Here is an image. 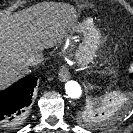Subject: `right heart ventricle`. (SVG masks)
<instances>
[{
	"label": "right heart ventricle",
	"instance_id": "e07e8e85",
	"mask_svg": "<svg viewBox=\"0 0 133 133\" xmlns=\"http://www.w3.org/2000/svg\"><path fill=\"white\" fill-rule=\"evenodd\" d=\"M94 26V20L90 17L80 19L73 27V32L76 34H83Z\"/></svg>",
	"mask_w": 133,
	"mask_h": 133
}]
</instances>
